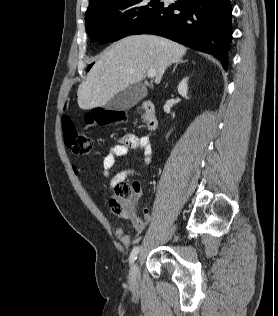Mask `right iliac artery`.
I'll use <instances>...</instances> for the list:
<instances>
[{
  "mask_svg": "<svg viewBox=\"0 0 278 316\" xmlns=\"http://www.w3.org/2000/svg\"><path fill=\"white\" fill-rule=\"evenodd\" d=\"M138 253H139V247H134L129 257L130 264H132L136 260Z\"/></svg>",
  "mask_w": 278,
  "mask_h": 316,
  "instance_id": "right-iliac-artery-1",
  "label": "right iliac artery"
}]
</instances>
